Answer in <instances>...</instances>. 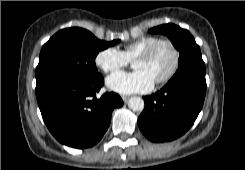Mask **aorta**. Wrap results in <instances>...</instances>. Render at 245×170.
I'll return each mask as SVG.
<instances>
[{"label":"aorta","instance_id":"1","mask_svg":"<svg viewBox=\"0 0 245 170\" xmlns=\"http://www.w3.org/2000/svg\"><path fill=\"white\" fill-rule=\"evenodd\" d=\"M128 107L133 111H142L144 109V101L140 97H131Z\"/></svg>","mask_w":245,"mask_h":170}]
</instances>
